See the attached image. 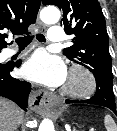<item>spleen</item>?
<instances>
[{"label":"spleen","instance_id":"1","mask_svg":"<svg viewBox=\"0 0 117 131\" xmlns=\"http://www.w3.org/2000/svg\"><path fill=\"white\" fill-rule=\"evenodd\" d=\"M104 124L107 131H117V126L115 124V121L110 115H105L104 117Z\"/></svg>","mask_w":117,"mask_h":131}]
</instances>
